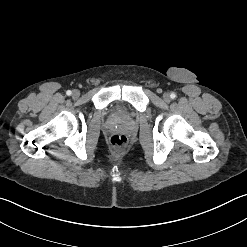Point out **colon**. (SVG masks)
I'll return each instance as SVG.
<instances>
[{
	"instance_id": "5ec220e1",
	"label": "colon",
	"mask_w": 247,
	"mask_h": 247,
	"mask_svg": "<svg viewBox=\"0 0 247 247\" xmlns=\"http://www.w3.org/2000/svg\"><path fill=\"white\" fill-rule=\"evenodd\" d=\"M127 137L124 135H113L110 138V144L117 148V149H121L123 147H125V145L127 144Z\"/></svg>"
}]
</instances>
